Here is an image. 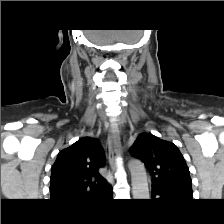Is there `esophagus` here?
Returning a JSON list of instances; mask_svg holds the SVG:
<instances>
[{
    "label": "esophagus",
    "instance_id": "obj_1",
    "mask_svg": "<svg viewBox=\"0 0 224 224\" xmlns=\"http://www.w3.org/2000/svg\"><path fill=\"white\" fill-rule=\"evenodd\" d=\"M109 151H110V165L113 170L116 169V162L118 155H121V144L118 131L111 125L108 134Z\"/></svg>",
    "mask_w": 224,
    "mask_h": 224
}]
</instances>
